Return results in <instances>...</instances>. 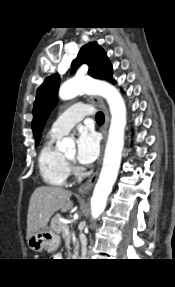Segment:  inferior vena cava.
Returning <instances> with one entry per match:
<instances>
[{
  "instance_id": "1",
  "label": "inferior vena cava",
  "mask_w": 175,
  "mask_h": 287,
  "mask_svg": "<svg viewBox=\"0 0 175 287\" xmlns=\"http://www.w3.org/2000/svg\"><path fill=\"white\" fill-rule=\"evenodd\" d=\"M80 240H81V243H82V259H85V256H86V252H87V249H86V245H87V239L85 237V235L81 234L80 235Z\"/></svg>"
}]
</instances>
